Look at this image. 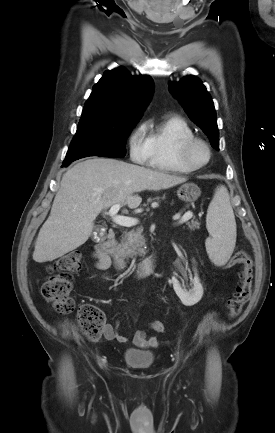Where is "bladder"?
<instances>
[{"label": "bladder", "mask_w": 275, "mask_h": 433, "mask_svg": "<svg viewBox=\"0 0 275 433\" xmlns=\"http://www.w3.org/2000/svg\"><path fill=\"white\" fill-rule=\"evenodd\" d=\"M123 360L133 368H148L154 362V354L148 350L129 348L125 350Z\"/></svg>", "instance_id": "1"}]
</instances>
